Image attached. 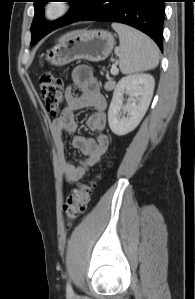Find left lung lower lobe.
Returning a JSON list of instances; mask_svg holds the SVG:
<instances>
[{
	"mask_svg": "<svg viewBox=\"0 0 195 299\" xmlns=\"http://www.w3.org/2000/svg\"><path fill=\"white\" fill-rule=\"evenodd\" d=\"M166 0H92L78 21H111L132 26L150 36L163 50Z\"/></svg>",
	"mask_w": 195,
	"mask_h": 299,
	"instance_id": "1",
	"label": "left lung lower lobe"
}]
</instances>
